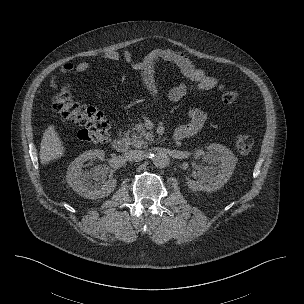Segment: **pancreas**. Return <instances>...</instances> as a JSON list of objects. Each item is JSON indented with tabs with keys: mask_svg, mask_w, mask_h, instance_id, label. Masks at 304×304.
<instances>
[{
	"mask_svg": "<svg viewBox=\"0 0 304 304\" xmlns=\"http://www.w3.org/2000/svg\"><path fill=\"white\" fill-rule=\"evenodd\" d=\"M127 134L129 135V132H127ZM147 141H153V134L145 129L144 124H137L135 128H133L130 144L136 148H145L148 145Z\"/></svg>",
	"mask_w": 304,
	"mask_h": 304,
	"instance_id": "1",
	"label": "pancreas"
}]
</instances>
